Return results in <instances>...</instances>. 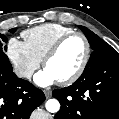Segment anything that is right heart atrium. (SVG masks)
I'll use <instances>...</instances> for the list:
<instances>
[{
  "label": "right heart atrium",
  "mask_w": 119,
  "mask_h": 119,
  "mask_svg": "<svg viewBox=\"0 0 119 119\" xmlns=\"http://www.w3.org/2000/svg\"><path fill=\"white\" fill-rule=\"evenodd\" d=\"M7 55L14 67L15 73L23 79H30L41 63L30 51L27 44L17 38L9 40Z\"/></svg>",
  "instance_id": "1"
}]
</instances>
